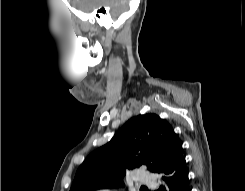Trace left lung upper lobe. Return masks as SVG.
<instances>
[{
	"label": "left lung upper lobe",
	"mask_w": 245,
	"mask_h": 191,
	"mask_svg": "<svg viewBox=\"0 0 245 191\" xmlns=\"http://www.w3.org/2000/svg\"><path fill=\"white\" fill-rule=\"evenodd\" d=\"M182 147L171 125L156 114L132 117L104 146L93 151L76 172L70 191L117 188L126 172L145 165L165 168Z\"/></svg>",
	"instance_id": "obj_1"
}]
</instances>
